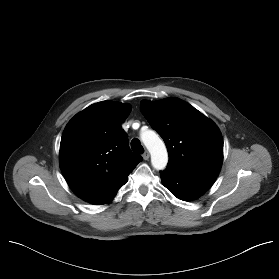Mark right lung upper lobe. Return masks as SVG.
Instances as JSON below:
<instances>
[{"mask_svg":"<svg viewBox=\"0 0 279 279\" xmlns=\"http://www.w3.org/2000/svg\"><path fill=\"white\" fill-rule=\"evenodd\" d=\"M128 104L95 103L66 125L60 143V169L73 192L92 203L120 189L142 157L131 152L120 124Z\"/></svg>","mask_w":279,"mask_h":279,"instance_id":"right-lung-upper-lobe-1","label":"right lung upper lobe"}]
</instances>
